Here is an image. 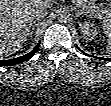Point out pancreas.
<instances>
[{
	"mask_svg": "<svg viewBox=\"0 0 111 106\" xmlns=\"http://www.w3.org/2000/svg\"><path fill=\"white\" fill-rule=\"evenodd\" d=\"M81 7L90 15L98 19H111V8L107 3H97L95 0H82Z\"/></svg>",
	"mask_w": 111,
	"mask_h": 106,
	"instance_id": "obj_1",
	"label": "pancreas"
}]
</instances>
